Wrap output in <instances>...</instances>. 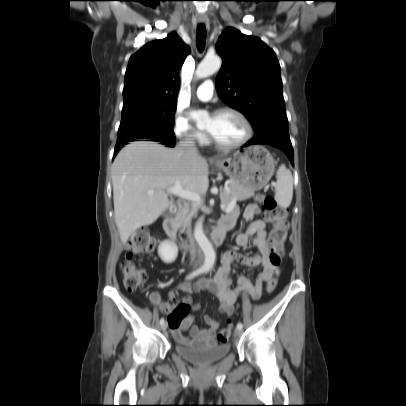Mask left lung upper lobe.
Instances as JSON below:
<instances>
[{"label":"left lung upper lobe","instance_id":"1","mask_svg":"<svg viewBox=\"0 0 406 406\" xmlns=\"http://www.w3.org/2000/svg\"><path fill=\"white\" fill-rule=\"evenodd\" d=\"M216 50L223 59L216 79L219 97L242 112L255 130L254 137L289 139L276 55L259 38L228 27Z\"/></svg>","mask_w":406,"mask_h":406}]
</instances>
